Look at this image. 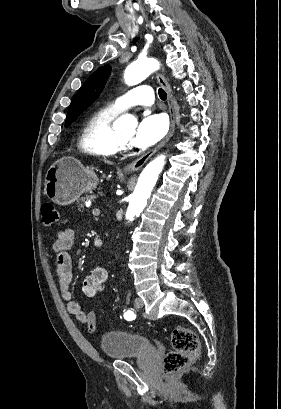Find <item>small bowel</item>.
<instances>
[{
    "label": "small bowel",
    "instance_id": "c3829d8e",
    "mask_svg": "<svg viewBox=\"0 0 281 409\" xmlns=\"http://www.w3.org/2000/svg\"><path fill=\"white\" fill-rule=\"evenodd\" d=\"M74 237V231L70 228L61 229L55 236L53 241V251L56 256L55 274L68 312L76 320L87 325L91 319L96 320L95 313L93 311H84L80 303L71 294L73 262L69 250L73 245ZM93 246L96 250H101L103 242L100 239H95ZM108 278L109 273L106 268L95 267L84 280V293L89 297L102 293L106 288Z\"/></svg>",
    "mask_w": 281,
    "mask_h": 409
}]
</instances>
